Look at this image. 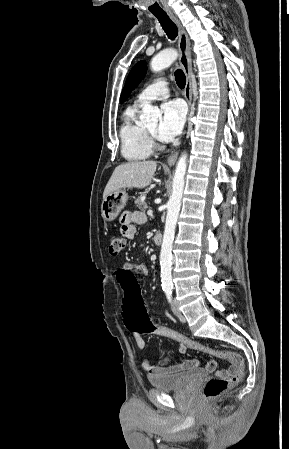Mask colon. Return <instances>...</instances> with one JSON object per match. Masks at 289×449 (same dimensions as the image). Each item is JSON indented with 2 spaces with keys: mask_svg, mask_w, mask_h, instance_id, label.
<instances>
[{
  "mask_svg": "<svg viewBox=\"0 0 289 449\" xmlns=\"http://www.w3.org/2000/svg\"><path fill=\"white\" fill-rule=\"evenodd\" d=\"M125 246L126 240L123 236L119 234L110 235L109 252L112 255L120 254ZM116 279L123 292L122 304L124 305L125 324L131 332L140 335L155 334L175 341H182L191 349L237 363V370L234 374L230 376H219L216 374L215 377L208 380L204 387V396L206 398H215L242 380L245 370L243 363L237 355L191 340L173 330L154 323L149 318L140 296L134 272L131 268H118Z\"/></svg>",
  "mask_w": 289,
  "mask_h": 449,
  "instance_id": "colon-1",
  "label": "colon"
}]
</instances>
